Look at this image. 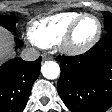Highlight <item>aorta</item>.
I'll return each mask as SVG.
<instances>
[{"instance_id":"aorta-1","label":"aorta","mask_w":112,"mask_h":112,"mask_svg":"<svg viewBox=\"0 0 112 112\" xmlns=\"http://www.w3.org/2000/svg\"><path fill=\"white\" fill-rule=\"evenodd\" d=\"M42 75L49 80H54L60 75V67L55 61H45L41 67Z\"/></svg>"}]
</instances>
